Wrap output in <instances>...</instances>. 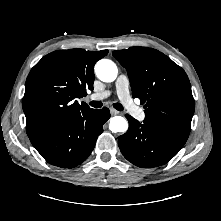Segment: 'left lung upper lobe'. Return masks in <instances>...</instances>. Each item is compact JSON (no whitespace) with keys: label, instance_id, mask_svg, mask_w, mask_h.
<instances>
[{"label":"left lung upper lobe","instance_id":"5c2ea615","mask_svg":"<svg viewBox=\"0 0 221 221\" xmlns=\"http://www.w3.org/2000/svg\"><path fill=\"white\" fill-rule=\"evenodd\" d=\"M113 56L126 68L132 96L144 105V121L188 139L195 102L185 71L160 51L148 47L116 50Z\"/></svg>","mask_w":221,"mask_h":221}]
</instances>
